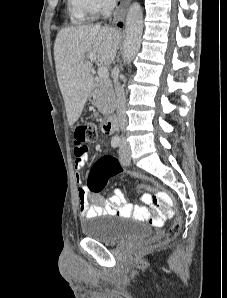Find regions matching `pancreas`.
Returning a JSON list of instances; mask_svg holds the SVG:
<instances>
[{
	"mask_svg": "<svg viewBox=\"0 0 227 298\" xmlns=\"http://www.w3.org/2000/svg\"><path fill=\"white\" fill-rule=\"evenodd\" d=\"M93 95L95 97L94 104L103 115L114 111L116 98L109 78H99L95 81Z\"/></svg>",
	"mask_w": 227,
	"mask_h": 298,
	"instance_id": "1",
	"label": "pancreas"
}]
</instances>
